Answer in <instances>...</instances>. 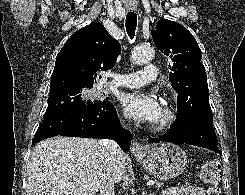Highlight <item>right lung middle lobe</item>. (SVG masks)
Returning a JSON list of instances; mask_svg holds the SVG:
<instances>
[{
  "instance_id": "obj_1",
  "label": "right lung middle lobe",
  "mask_w": 245,
  "mask_h": 195,
  "mask_svg": "<svg viewBox=\"0 0 245 195\" xmlns=\"http://www.w3.org/2000/svg\"><path fill=\"white\" fill-rule=\"evenodd\" d=\"M92 87H72L50 93L48 107L43 118L46 119L69 110L89 108L98 101L109 100V98L100 100L90 99L88 89Z\"/></svg>"
}]
</instances>
